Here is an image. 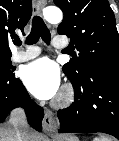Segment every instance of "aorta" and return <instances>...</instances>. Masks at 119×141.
<instances>
[{
	"mask_svg": "<svg viewBox=\"0 0 119 141\" xmlns=\"http://www.w3.org/2000/svg\"><path fill=\"white\" fill-rule=\"evenodd\" d=\"M44 17L49 23L58 24L62 21L63 15L60 9L50 7L45 10Z\"/></svg>",
	"mask_w": 119,
	"mask_h": 141,
	"instance_id": "1",
	"label": "aorta"
}]
</instances>
